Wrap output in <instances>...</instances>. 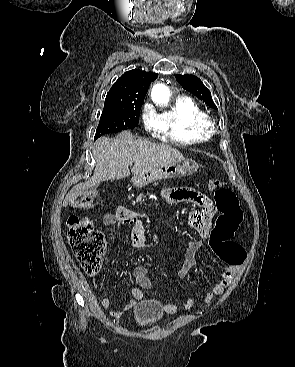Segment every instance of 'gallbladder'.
<instances>
[{
  "instance_id": "1",
  "label": "gallbladder",
  "mask_w": 295,
  "mask_h": 367,
  "mask_svg": "<svg viewBox=\"0 0 295 367\" xmlns=\"http://www.w3.org/2000/svg\"><path fill=\"white\" fill-rule=\"evenodd\" d=\"M98 185H99V183H97V184L93 185V186L89 189V192H90V193H95V192H96V189H97V187H98Z\"/></svg>"
}]
</instances>
